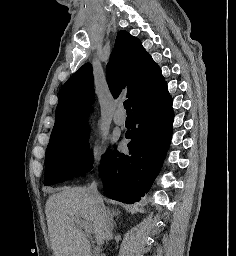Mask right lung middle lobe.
Segmentation results:
<instances>
[{"instance_id":"dd1d6c3e","label":"right lung middle lobe","mask_w":236,"mask_h":256,"mask_svg":"<svg viewBox=\"0 0 236 256\" xmlns=\"http://www.w3.org/2000/svg\"><path fill=\"white\" fill-rule=\"evenodd\" d=\"M88 134L87 124H84L67 135L50 140L45 155L44 185L59 183L91 171L93 155L89 150Z\"/></svg>"}]
</instances>
